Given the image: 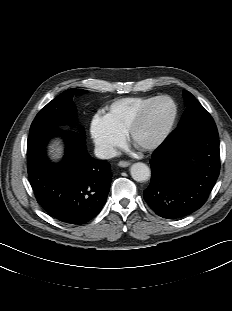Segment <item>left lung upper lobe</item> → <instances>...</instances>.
I'll return each mask as SVG.
<instances>
[{
	"instance_id": "5c2ea615",
	"label": "left lung upper lobe",
	"mask_w": 232,
	"mask_h": 311,
	"mask_svg": "<svg viewBox=\"0 0 232 311\" xmlns=\"http://www.w3.org/2000/svg\"><path fill=\"white\" fill-rule=\"evenodd\" d=\"M184 99L187 108L180 120V123L185 120L210 115L190 92L184 91Z\"/></svg>"
}]
</instances>
